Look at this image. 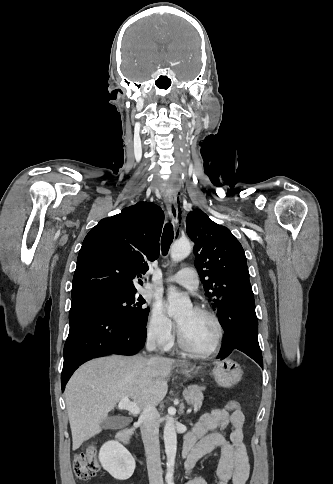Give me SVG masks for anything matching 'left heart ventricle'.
Returning a JSON list of instances; mask_svg holds the SVG:
<instances>
[{"label": "left heart ventricle", "instance_id": "b2bd125f", "mask_svg": "<svg viewBox=\"0 0 333 484\" xmlns=\"http://www.w3.org/2000/svg\"><path fill=\"white\" fill-rule=\"evenodd\" d=\"M184 338L190 346L199 351L210 349L217 336V328L207 315L188 308L177 317Z\"/></svg>", "mask_w": 333, "mask_h": 484}]
</instances>
